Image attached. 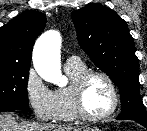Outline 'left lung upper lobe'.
Returning <instances> with one entry per match:
<instances>
[{
  "mask_svg": "<svg viewBox=\"0 0 147 131\" xmlns=\"http://www.w3.org/2000/svg\"><path fill=\"white\" fill-rule=\"evenodd\" d=\"M71 16L79 45L119 88L122 107L117 118L147 123L140 96L139 60L127 23L98 3L75 10Z\"/></svg>",
  "mask_w": 147,
  "mask_h": 131,
  "instance_id": "5c2ea615",
  "label": "left lung upper lobe"
}]
</instances>
